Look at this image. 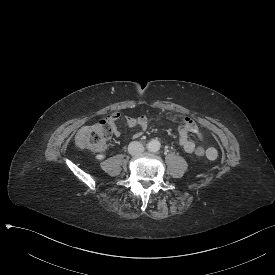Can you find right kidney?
Returning <instances> with one entry per match:
<instances>
[{
    "label": "right kidney",
    "mask_w": 275,
    "mask_h": 275,
    "mask_svg": "<svg viewBox=\"0 0 275 275\" xmlns=\"http://www.w3.org/2000/svg\"><path fill=\"white\" fill-rule=\"evenodd\" d=\"M106 157H107V155L105 153H99L94 156V159L101 162V161L105 160Z\"/></svg>",
    "instance_id": "obj_1"
}]
</instances>
